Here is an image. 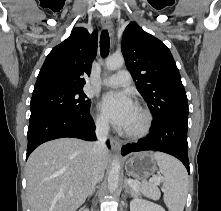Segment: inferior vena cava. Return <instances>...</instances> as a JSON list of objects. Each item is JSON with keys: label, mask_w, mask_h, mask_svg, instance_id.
Listing matches in <instances>:
<instances>
[{"label": "inferior vena cava", "mask_w": 221, "mask_h": 211, "mask_svg": "<svg viewBox=\"0 0 221 211\" xmlns=\"http://www.w3.org/2000/svg\"><path fill=\"white\" fill-rule=\"evenodd\" d=\"M109 125L105 121L96 122V137L97 141L92 143V153L94 156L92 187L89 195L93 193L95 185L100 182L104 176V166L101 162V157L106 150V140L108 138Z\"/></svg>", "instance_id": "1"}]
</instances>
